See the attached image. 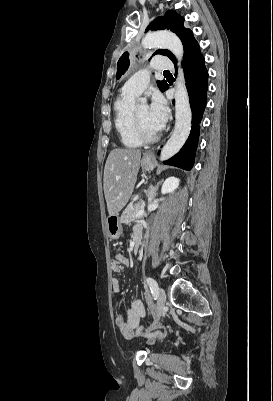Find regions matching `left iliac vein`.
I'll return each mask as SVG.
<instances>
[{
  "mask_svg": "<svg viewBox=\"0 0 273 401\" xmlns=\"http://www.w3.org/2000/svg\"><path fill=\"white\" fill-rule=\"evenodd\" d=\"M165 302H166V293L165 290L162 287L158 288V300H157V313L155 316V321L151 326L149 327V330H152L155 328L157 322L161 318V316L164 313V308H165Z\"/></svg>",
  "mask_w": 273,
  "mask_h": 401,
  "instance_id": "obj_1",
  "label": "left iliac vein"
}]
</instances>
